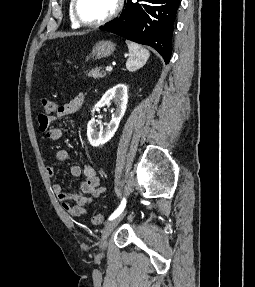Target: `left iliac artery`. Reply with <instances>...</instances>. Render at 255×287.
I'll return each mask as SVG.
<instances>
[{
	"label": "left iliac artery",
	"mask_w": 255,
	"mask_h": 287,
	"mask_svg": "<svg viewBox=\"0 0 255 287\" xmlns=\"http://www.w3.org/2000/svg\"><path fill=\"white\" fill-rule=\"evenodd\" d=\"M125 205H126V200L125 198L122 200L120 206L114 211V213H112V215L109 217V220H112L114 218H116L117 216H119L122 211L124 210L125 208Z\"/></svg>",
	"instance_id": "left-iliac-artery-1"
}]
</instances>
